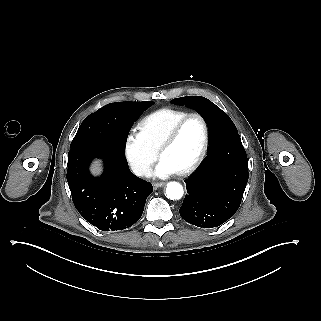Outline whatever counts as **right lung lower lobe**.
<instances>
[{
  "mask_svg": "<svg viewBox=\"0 0 321 321\" xmlns=\"http://www.w3.org/2000/svg\"><path fill=\"white\" fill-rule=\"evenodd\" d=\"M144 111L135 105H115L104 113L111 132L119 143L126 145L128 133ZM94 158L104 161L101 177L89 173ZM67 181L73 203L90 224L102 231H117L131 227L144 210L151 183L135 176L128 167L125 148L108 146H78L68 153Z\"/></svg>",
  "mask_w": 321,
  "mask_h": 321,
  "instance_id": "right-lung-lower-lobe-1",
  "label": "right lung lower lobe"
}]
</instances>
